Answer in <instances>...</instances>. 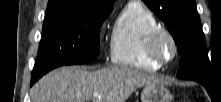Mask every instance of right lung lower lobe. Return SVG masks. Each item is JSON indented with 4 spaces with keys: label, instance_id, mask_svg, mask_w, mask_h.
<instances>
[{
    "label": "right lung lower lobe",
    "instance_id": "1",
    "mask_svg": "<svg viewBox=\"0 0 221 102\" xmlns=\"http://www.w3.org/2000/svg\"><path fill=\"white\" fill-rule=\"evenodd\" d=\"M37 77H31V86L38 80Z\"/></svg>",
    "mask_w": 221,
    "mask_h": 102
}]
</instances>
